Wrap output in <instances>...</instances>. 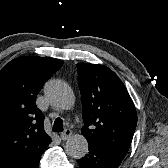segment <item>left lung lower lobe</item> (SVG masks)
Masks as SVG:
<instances>
[{"mask_svg": "<svg viewBox=\"0 0 168 168\" xmlns=\"http://www.w3.org/2000/svg\"><path fill=\"white\" fill-rule=\"evenodd\" d=\"M122 157L89 143V152L77 160L79 168H117Z\"/></svg>", "mask_w": 168, "mask_h": 168, "instance_id": "0a47b994", "label": "left lung lower lobe"}]
</instances>
